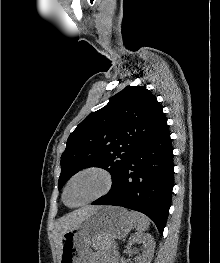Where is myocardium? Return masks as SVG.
Segmentation results:
<instances>
[{"label": "myocardium", "mask_w": 220, "mask_h": 263, "mask_svg": "<svg viewBox=\"0 0 220 263\" xmlns=\"http://www.w3.org/2000/svg\"><path fill=\"white\" fill-rule=\"evenodd\" d=\"M87 173L98 174L103 178L104 184H103L102 189L98 193H96L95 195H93V196H91V197H89V198H87V199H85L79 203L68 204L66 202V194H67V191H68L70 185L72 184V182L76 178H78L81 175L87 174ZM113 183H114V178H113L112 173L104 167L88 166V167L82 168V169L78 170L77 172H75L66 182L64 189H63V194H62L63 202L65 203V205H67L69 207H79V206L94 202V201L102 198L106 194H108L113 187Z\"/></svg>", "instance_id": "myocardium-1"}]
</instances>
